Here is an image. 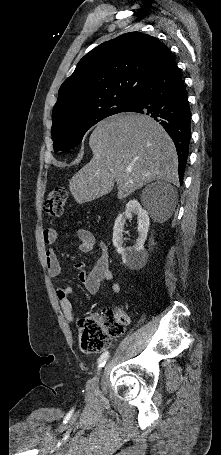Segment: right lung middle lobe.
Returning a JSON list of instances; mask_svg holds the SVG:
<instances>
[{"mask_svg":"<svg viewBox=\"0 0 221 455\" xmlns=\"http://www.w3.org/2000/svg\"><path fill=\"white\" fill-rule=\"evenodd\" d=\"M132 100L111 99L84 110H81L66 118L53 121L52 138L54 151H67L77 146L84 134L102 119L124 112Z\"/></svg>","mask_w":221,"mask_h":455,"instance_id":"obj_1","label":"right lung middle lobe"}]
</instances>
